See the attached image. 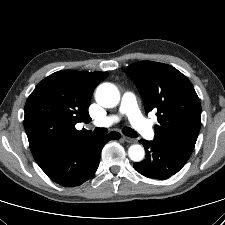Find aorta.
<instances>
[{"mask_svg":"<svg viewBox=\"0 0 225 225\" xmlns=\"http://www.w3.org/2000/svg\"><path fill=\"white\" fill-rule=\"evenodd\" d=\"M95 99L99 105L105 108L116 107L120 101L118 88L112 83H103L98 86ZM129 158L134 162L143 160L145 151L141 145L134 144L128 149Z\"/></svg>","mask_w":225,"mask_h":225,"instance_id":"1","label":"aorta"}]
</instances>
